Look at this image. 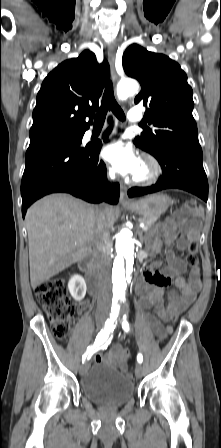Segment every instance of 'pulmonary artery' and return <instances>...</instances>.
Instances as JSON below:
<instances>
[{
	"instance_id": "obj_1",
	"label": "pulmonary artery",
	"mask_w": 221,
	"mask_h": 448,
	"mask_svg": "<svg viewBox=\"0 0 221 448\" xmlns=\"http://www.w3.org/2000/svg\"><path fill=\"white\" fill-rule=\"evenodd\" d=\"M142 117H143V111L139 109H131L128 113L129 121L134 123L140 121Z\"/></svg>"
}]
</instances>
